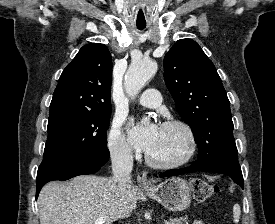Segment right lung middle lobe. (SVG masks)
Returning a JSON list of instances; mask_svg holds the SVG:
<instances>
[{"mask_svg": "<svg viewBox=\"0 0 275 224\" xmlns=\"http://www.w3.org/2000/svg\"><path fill=\"white\" fill-rule=\"evenodd\" d=\"M111 112H62L49 116L44 158L107 148Z\"/></svg>", "mask_w": 275, "mask_h": 224, "instance_id": "dd1d6c3e", "label": "right lung middle lobe"}]
</instances>
